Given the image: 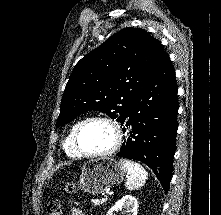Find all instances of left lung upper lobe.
I'll return each mask as SVG.
<instances>
[{
  "label": "left lung upper lobe",
  "instance_id": "1",
  "mask_svg": "<svg viewBox=\"0 0 221 215\" xmlns=\"http://www.w3.org/2000/svg\"><path fill=\"white\" fill-rule=\"evenodd\" d=\"M168 57L161 43L139 28H124L83 57L67 82L57 126L96 110L122 122L143 84Z\"/></svg>",
  "mask_w": 221,
  "mask_h": 215
}]
</instances>
